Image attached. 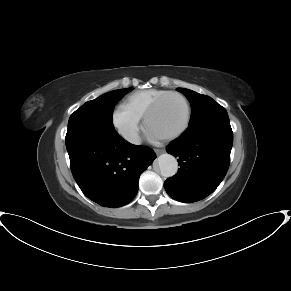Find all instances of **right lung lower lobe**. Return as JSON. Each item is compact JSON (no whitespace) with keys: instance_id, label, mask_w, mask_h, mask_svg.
<instances>
[{"instance_id":"1","label":"right lung lower lobe","mask_w":291,"mask_h":291,"mask_svg":"<svg viewBox=\"0 0 291 291\" xmlns=\"http://www.w3.org/2000/svg\"><path fill=\"white\" fill-rule=\"evenodd\" d=\"M66 148L74 179L82 192L104 207L131 202L139 177L156 158L152 149L132 145L115 129L92 125L68 127Z\"/></svg>"}]
</instances>
